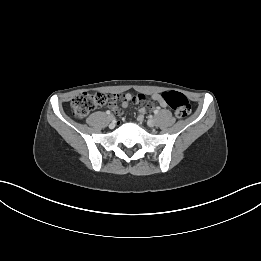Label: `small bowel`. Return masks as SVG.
Segmentation results:
<instances>
[{
	"label": "small bowel",
	"instance_id": "obj_1",
	"mask_svg": "<svg viewBox=\"0 0 261 261\" xmlns=\"http://www.w3.org/2000/svg\"><path fill=\"white\" fill-rule=\"evenodd\" d=\"M152 100L157 102L163 108H166L168 106L167 103L162 99L161 94H158V93L153 94ZM121 102H122V107H126L129 103L132 106H136V105L143 106L139 110L140 118L143 117L147 111V109L145 107L151 105V103H152L151 100L149 99L148 95L141 94V93L134 94L132 98H131L130 94H122ZM105 107H108V104H105ZM109 107L118 111V113H121V110L117 105L116 99L109 101Z\"/></svg>",
	"mask_w": 261,
	"mask_h": 261
}]
</instances>
